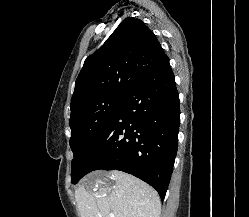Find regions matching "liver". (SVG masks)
<instances>
[{"label": "liver", "instance_id": "6515ba94", "mask_svg": "<svg viewBox=\"0 0 249 217\" xmlns=\"http://www.w3.org/2000/svg\"><path fill=\"white\" fill-rule=\"evenodd\" d=\"M87 179L104 186L96 192L83 184L76 189L75 199L81 217H160L161 202L157 192L134 176L118 170L98 171ZM109 179L115 184L107 183Z\"/></svg>", "mask_w": 249, "mask_h": 217}]
</instances>
